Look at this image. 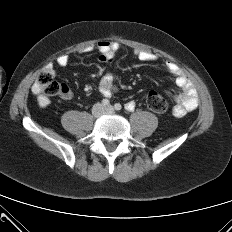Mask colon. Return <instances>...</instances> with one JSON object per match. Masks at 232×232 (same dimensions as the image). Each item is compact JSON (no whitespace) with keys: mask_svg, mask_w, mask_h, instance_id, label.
<instances>
[{"mask_svg":"<svg viewBox=\"0 0 232 232\" xmlns=\"http://www.w3.org/2000/svg\"><path fill=\"white\" fill-rule=\"evenodd\" d=\"M39 90L48 96L62 95L65 90L62 84L55 81L50 70L40 73L36 81ZM147 107L154 113L164 114L168 111L166 99L156 92H150L146 98Z\"/></svg>","mask_w":232,"mask_h":232,"instance_id":"colon-1","label":"colon"}]
</instances>
